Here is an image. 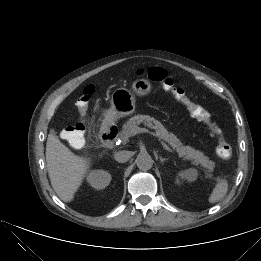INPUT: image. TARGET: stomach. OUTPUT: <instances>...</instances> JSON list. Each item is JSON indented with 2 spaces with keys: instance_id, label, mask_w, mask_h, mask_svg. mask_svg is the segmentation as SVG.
<instances>
[{
  "instance_id": "0dacf381",
  "label": "stomach",
  "mask_w": 261,
  "mask_h": 261,
  "mask_svg": "<svg viewBox=\"0 0 261 261\" xmlns=\"http://www.w3.org/2000/svg\"><path fill=\"white\" fill-rule=\"evenodd\" d=\"M152 84L146 79H138L132 83L131 89L117 88L111 96V106L103 114L105 124L133 114L136 110L135 96H146L152 91Z\"/></svg>"
}]
</instances>
